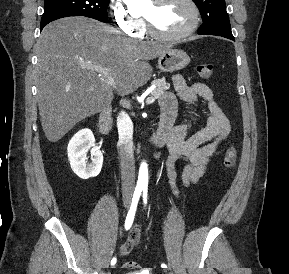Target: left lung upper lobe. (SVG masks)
Wrapping results in <instances>:
<instances>
[{"mask_svg": "<svg viewBox=\"0 0 289 274\" xmlns=\"http://www.w3.org/2000/svg\"><path fill=\"white\" fill-rule=\"evenodd\" d=\"M200 10L203 24L198 34L233 36L225 0H193Z\"/></svg>", "mask_w": 289, "mask_h": 274, "instance_id": "obj_1", "label": "left lung upper lobe"}]
</instances>
